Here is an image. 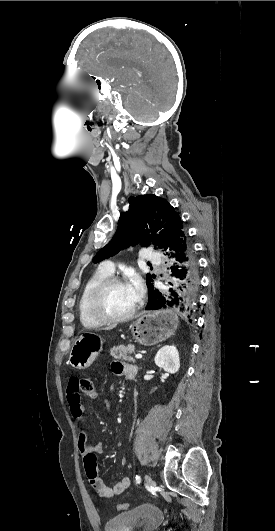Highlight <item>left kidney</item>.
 I'll return each mask as SVG.
<instances>
[{"mask_svg": "<svg viewBox=\"0 0 275 531\" xmlns=\"http://www.w3.org/2000/svg\"><path fill=\"white\" fill-rule=\"evenodd\" d=\"M154 361L157 367H162L166 373L172 375L180 369L179 353L173 345H165L159 349Z\"/></svg>", "mask_w": 275, "mask_h": 531, "instance_id": "5707ae66", "label": "left kidney"}]
</instances>
